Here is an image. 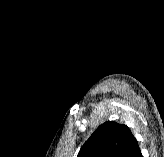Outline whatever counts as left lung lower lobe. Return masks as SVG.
<instances>
[{
    "mask_svg": "<svg viewBox=\"0 0 164 157\" xmlns=\"http://www.w3.org/2000/svg\"><path fill=\"white\" fill-rule=\"evenodd\" d=\"M127 157H142V154H141V151H140V148L138 146V142L137 141H135L132 144V146H131V148H130V150L128 152Z\"/></svg>",
    "mask_w": 164,
    "mask_h": 157,
    "instance_id": "1",
    "label": "left lung lower lobe"
}]
</instances>
